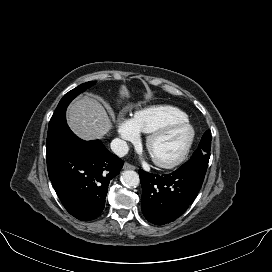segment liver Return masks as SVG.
Wrapping results in <instances>:
<instances>
[{
  "label": "liver",
  "instance_id": "1",
  "mask_svg": "<svg viewBox=\"0 0 272 272\" xmlns=\"http://www.w3.org/2000/svg\"><path fill=\"white\" fill-rule=\"evenodd\" d=\"M67 123L74 134L83 140L100 139L112 128L104 107L89 96L81 97L69 105Z\"/></svg>",
  "mask_w": 272,
  "mask_h": 272
}]
</instances>
